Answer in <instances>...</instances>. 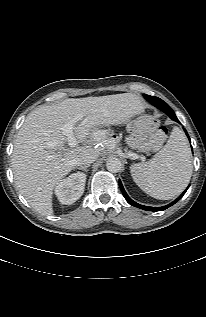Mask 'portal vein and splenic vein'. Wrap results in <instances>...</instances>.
I'll use <instances>...</instances> for the list:
<instances>
[{
	"instance_id": "18ae733b",
	"label": "portal vein and splenic vein",
	"mask_w": 206,
	"mask_h": 317,
	"mask_svg": "<svg viewBox=\"0 0 206 317\" xmlns=\"http://www.w3.org/2000/svg\"><path fill=\"white\" fill-rule=\"evenodd\" d=\"M76 121H71L68 124L64 125L61 130L62 133L67 137V142L70 147H75L77 145V139L74 136L73 128L74 123ZM132 159H137L138 155L135 153H132L129 155Z\"/></svg>"
}]
</instances>
